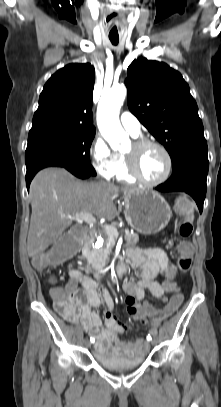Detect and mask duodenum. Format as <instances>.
<instances>
[{
  "instance_id": "410a0bca",
  "label": "duodenum",
  "mask_w": 221,
  "mask_h": 407,
  "mask_svg": "<svg viewBox=\"0 0 221 407\" xmlns=\"http://www.w3.org/2000/svg\"><path fill=\"white\" fill-rule=\"evenodd\" d=\"M89 231H90V229L86 227L87 235H88ZM127 270H128V264L126 261H124V262H121L115 269H112V271H110L109 274H112L115 276L116 275L120 276V275L125 274L127 272ZM106 275H108V274H106ZM100 276H103V275L96 274V277H100Z\"/></svg>"
}]
</instances>
